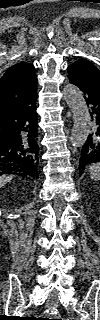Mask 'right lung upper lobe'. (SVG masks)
<instances>
[{"mask_svg":"<svg viewBox=\"0 0 100 320\" xmlns=\"http://www.w3.org/2000/svg\"><path fill=\"white\" fill-rule=\"evenodd\" d=\"M34 66L20 62L10 67L0 80V104L17 101L36 89Z\"/></svg>","mask_w":100,"mask_h":320,"instance_id":"right-lung-upper-lobe-1","label":"right lung upper lobe"}]
</instances>
